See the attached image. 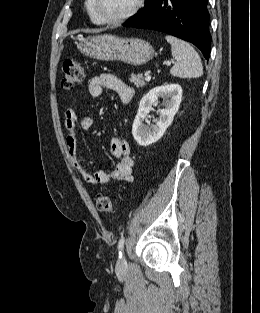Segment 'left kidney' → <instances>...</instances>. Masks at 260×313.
<instances>
[{
    "mask_svg": "<svg viewBox=\"0 0 260 313\" xmlns=\"http://www.w3.org/2000/svg\"><path fill=\"white\" fill-rule=\"evenodd\" d=\"M161 97L165 107L159 110L155 124L147 127L144 124L152 104ZM182 100V88L178 84L163 85L150 90L140 101L137 115L132 126V134L140 146H148L158 141L173 121Z\"/></svg>",
    "mask_w": 260,
    "mask_h": 313,
    "instance_id": "5707ae66",
    "label": "left kidney"
}]
</instances>
